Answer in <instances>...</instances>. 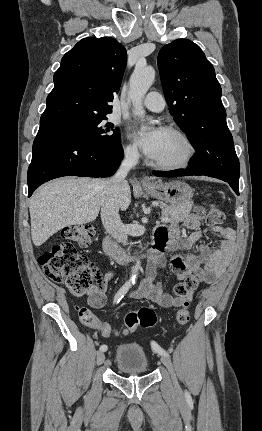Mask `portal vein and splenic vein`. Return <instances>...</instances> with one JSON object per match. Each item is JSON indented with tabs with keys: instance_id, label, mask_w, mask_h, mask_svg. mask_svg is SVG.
<instances>
[{
	"instance_id": "18ae733b",
	"label": "portal vein and splenic vein",
	"mask_w": 262,
	"mask_h": 431,
	"mask_svg": "<svg viewBox=\"0 0 262 431\" xmlns=\"http://www.w3.org/2000/svg\"><path fill=\"white\" fill-rule=\"evenodd\" d=\"M161 221L167 223V222H169V218L168 217H162Z\"/></svg>"
}]
</instances>
